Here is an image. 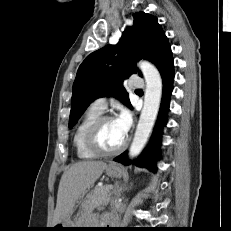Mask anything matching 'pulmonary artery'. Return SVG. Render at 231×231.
<instances>
[{
    "label": "pulmonary artery",
    "mask_w": 231,
    "mask_h": 231,
    "mask_svg": "<svg viewBox=\"0 0 231 231\" xmlns=\"http://www.w3.org/2000/svg\"><path fill=\"white\" fill-rule=\"evenodd\" d=\"M143 85H144L143 79L137 76L132 77V79L129 82V86L131 88H142ZM91 107L102 113L107 107L106 98L102 97L94 100L93 103L91 104Z\"/></svg>",
    "instance_id": "obj_1"
}]
</instances>
